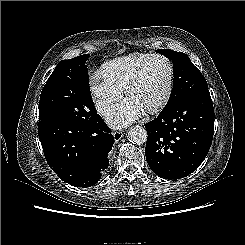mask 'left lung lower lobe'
Listing matches in <instances>:
<instances>
[{"mask_svg": "<svg viewBox=\"0 0 245 245\" xmlns=\"http://www.w3.org/2000/svg\"><path fill=\"white\" fill-rule=\"evenodd\" d=\"M214 117L209 90H200L146 123L145 155L151 170L169 180L194 172L210 149Z\"/></svg>", "mask_w": 245, "mask_h": 245, "instance_id": "obj_1", "label": "left lung lower lobe"}]
</instances>
